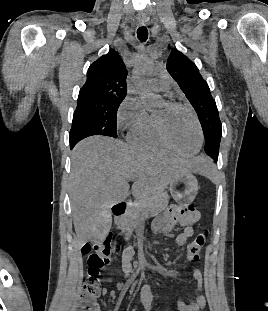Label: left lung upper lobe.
<instances>
[{"label": "left lung upper lobe", "mask_w": 268, "mask_h": 311, "mask_svg": "<svg viewBox=\"0 0 268 311\" xmlns=\"http://www.w3.org/2000/svg\"><path fill=\"white\" fill-rule=\"evenodd\" d=\"M166 68L195 109L205 137L204 150L215 160L219 154L222 130L218 109L207 82L196 65L176 49L172 50Z\"/></svg>", "instance_id": "left-lung-upper-lobe-1"}]
</instances>
